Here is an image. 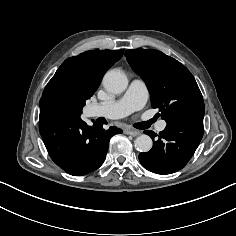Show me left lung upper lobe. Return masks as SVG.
Here are the masks:
<instances>
[{"mask_svg":"<svg viewBox=\"0 0 236 236\" xmlns=\"http://www.w3.org/2000/svg\"><path fill=\"white\" fill-rule=\"evenodd\" d=\"M127 61L145 81L153 108L166 122L204 117V101L190 71L176 59L157 50H127Z\"/></svg>","mask_w":236,"mask_h":236,"instance_id":"1","label":"left lung upper lobe"}]
</instances>
